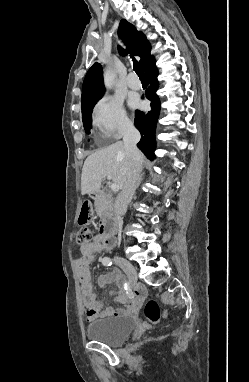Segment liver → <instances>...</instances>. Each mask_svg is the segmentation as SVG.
I'll list each match as a JSON object with an SVG mask.
<instances>
[{"instance_id":"6515ba94","label":"liver","mask_w":249,"mask_h":382,"mask_svg":"<svg viewBox=\"0 0 249 382\" xmlns=\"http://www.w3.org/2000/svg\"><path fill=\"white\" fill-rule=\"evenodd\" d=\"M142 162L143 155L140 153V165ZM128 167L129 158L124 143L121 141L92 153L86 158L83 165L81 194L98 192L102 180L106 177L122 188Z\"/></svg>"}]
</instances>
